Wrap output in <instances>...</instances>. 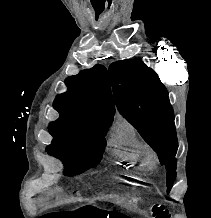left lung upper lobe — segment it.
<instances>
[{
    "label": "left lung upper lobe",
    "mask_w": 211,
    "mask_h": 218,
    "mask_svg": "<svg viewBox=\"0 0 211 218\" xmlns=\"http://www.w3.org/2000/svg\"><path fill=\"white\" fill-rule=\"evenodd\" d=\"M109 73L119 112L157 152L167 169L169 192L176 177L178 141L165 86L156 72L138 59L114 62Z\"/></svg>",
    "instance_id": "left-lung-upper-lobe-1"
}]
</instances>
